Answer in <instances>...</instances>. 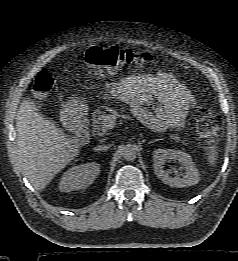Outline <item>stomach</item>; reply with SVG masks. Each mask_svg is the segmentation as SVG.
<instances>
[{
	"label": "stomach",
	"instance_id": "stomach-1",
	"mask_svg": "<svg viewBox=\"0 0 238 261\" xmlns=\"http://www.w3.org/2000/svg\"><path fill=\"white\" fill-rule=\"evenodd\" d=\"M87 109V104L82 99H74L68 104L66 112L70 115H82Z\"/></svg>",
	"mask_w": 238,
	"mask_h": 261
}]
</instances>
